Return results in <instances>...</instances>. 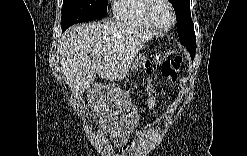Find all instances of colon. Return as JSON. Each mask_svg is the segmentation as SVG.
<instances>
[{
  "label": "colon",
  "mask_w": 247,
  "mask_h": 156,
  "mask_svg": "<svg viewBox=\"0 0 247 156\" xmlns=\"http://www.w3.org/2000/svg\"><path fill=\"white\" fill-rule=\"evenodd\" d=\"M181 65L182 58L180 56L164 61L161 65L162 76L170 82H175L180 72Z\"/></svg>",
  "instance_id": "colon-1"
}]
</instances>
